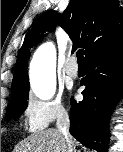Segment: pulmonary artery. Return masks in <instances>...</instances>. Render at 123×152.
Wrapping results in <instances>:
<instances>
[{"mask_svg": "<svg viewBox=\"0 0 123 152\" xmlns=\"http://www.w3.org/2000/svg\"><path fill=\"white\" fill-rule=\"evenodd\" d=\"M65 72L70 77H76L78 74V65L75 58H71L68 64L65 67Z\"/></svg>", "mask_w": 123, "mask_h": 152, "instance_id": "obj_1", "label": "pulmonary artery"}]
</instances>
